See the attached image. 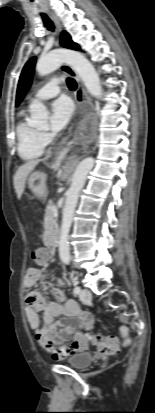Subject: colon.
<instances>
[{"instance_id": "obj_1", "label": "colon", "mask_w": 155, "mask_h": 413, "mask_svg": "<svg viewBox=\"0 0 155 413\" xmlns=\"http://www.w3.org/2000/svg\"><path fill=\"white\" fill-rule=\"evenodd\" d=\"M31 257L37 263H44L47 260V251L43 247H35L31 252ZM121 333L124 338L123 345L128 346L130 344L128 329L122 327ZM88 340L97 345L99 351L103 354H113L118 351V339L115 336H99L92 334H79L69 348L58 347L51 341H47L43 347L54 357L61 358L69 352L78 350L81 347V344Z\"/></svg>"}]
</instances>
